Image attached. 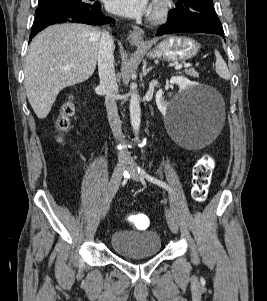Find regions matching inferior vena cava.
<instances>
[{
  "label": "inferior vena cava",
  "mask_w": 267,
  "mask_h": 301,
  "mask_svg": "<svg viewBox=\"0 0 267 301\" xmlns=\"http://www.w3.org/2000/svg\"><path fill=\"white\" fill-rule=\"evenodd\" d=\"M110 28H104L100 33V45L98 54V72L100 78V87L105 94V104L109 124L116 140L122 141L124 136L121 129V120L118 115L116 105V95L118 92V85L116 82L114 69V42L109 32ZM129 160V153L126 149L118 152V161L126 163Z\"/></svg>",
  "instance_id": "602c4592"
}]
</instances>
